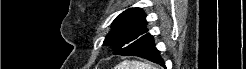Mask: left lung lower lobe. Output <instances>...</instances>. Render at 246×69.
<instances>
[{"mask_svg": "<svg viewBox=\"0 0 246 69\" xmlns=\"http://www.w3.org/2000/svg\"><path fill=\"white\" fill-rule=\"evenodd\" d=\"M114 54L122 56H138L164 66V60L156 49L154 38L149 33L142 35L129 45L118 49Z\"/></svg>", "mask_w": 246, "mask_h": 69, "instance_id": "left-lung-lower-lobe-1", "label": "left lung lower lobe"}]
</instances>
